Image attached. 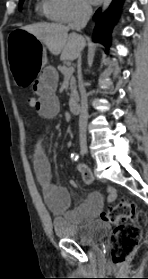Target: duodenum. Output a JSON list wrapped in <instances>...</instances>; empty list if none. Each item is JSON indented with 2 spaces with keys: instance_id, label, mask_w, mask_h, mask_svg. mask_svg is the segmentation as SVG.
Listing matches in <instances>:
<instances>
[{
  "instance_id": "duodenum-1",
  "label": "duodenum",
  "mask_w": 148,
  "mask_h": 279,
  "mask_svg": "<svg viewBox=\"0 0 148 279\" xmlns=\"http://www.w3.org/2000/svg\"><path fill=\"white\" fill-rule=\"evenodd\" d=\"M69 108L72 114L77 115L81 111V104L77 100H72L69 103Z\"/></svg>"
}]
</instances>
